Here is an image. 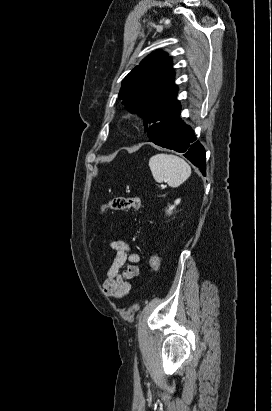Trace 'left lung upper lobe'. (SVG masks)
I'll return each instance as SVG.
<instances>
[{"label":"left lung upper lobe","mask_w":272,"mask_h":411,"mask_svg":"<svg viewBox=\"0 0 272 411\" xmlns=\"http://www.w3.org/2000/svg\"><path fill=\"white\" fill-rule=\"evenodd\" d=\"M171 58L162 51L147 56L122 81L119 99L126 108L144 117L147 135H153L180 110L176 99Z\"/></svg>","instance_id":"obj_1"}]
</instances>
